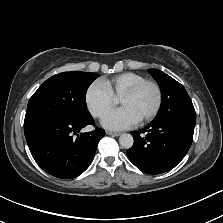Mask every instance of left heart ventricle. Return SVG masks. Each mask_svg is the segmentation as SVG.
<instances>
[{"label": "left heart ventricle", "mask_w": 223, "mask_h": 223, "mask_svg": "<svg viewBox=\"0 0 223 223\" xmlns=\"http://www.w3.org/2000/svg\"><path fill=\"white\" fill-rule=\"evenodd\" d=\"M118 102L122 107H127L135 117L141 119L154 107L155 92L151 86H144L134 96L119 98Z\"/></svg>", "instance_id": "b2bd125f"}]
</instances>
